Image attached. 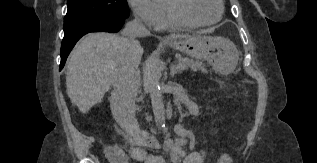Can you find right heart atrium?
Listing matches in <instances>:
<instances>
[{
	"mask_svg": "<svg viewBox=\"0 0 317 163\" xmlns=\"http://www.w3.org/2000/svg\"><path fill=\"white\" fill-rule=\"evenodd\" d=\"M134 16L147 26H155L160 17L158 0H127Z\"/></svg>",
	"mask_w": 317,
	"mask_h": 163,
	"instance_id": "d8ad5b80",
	"label": "right heart atrium"
}]
</instances>
